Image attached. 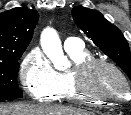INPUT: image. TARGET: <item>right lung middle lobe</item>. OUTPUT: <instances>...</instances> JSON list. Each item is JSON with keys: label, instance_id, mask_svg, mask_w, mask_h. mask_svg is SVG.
<instances>
[{"label": "right lung middle lobe", "instance_id": "right-lung-middle-lobe-1", "mask_svg": "<svg viewBox=\"0 0 131 115\" xmlns=\"http://www.w3.org/2000/svg\"><path fill=\"white\" fill-rule=\"evenodd\" d=\"M24 51L13 53L9 58L0 60V101L22 97L17 76L19 71L18 60Z\"/></svg>", "mask_w": 131, "mask_h": 115}]
</instances>
